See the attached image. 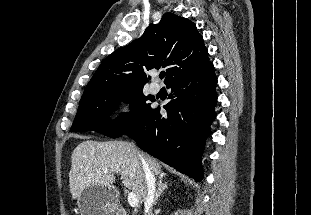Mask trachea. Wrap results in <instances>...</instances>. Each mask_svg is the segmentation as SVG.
I'll return each mask as SVG.
<instances>
[{"label": "trachea", "instance_id": "1", "mask_svg": "<svg viewBox=\"0 0 311 215\" xmlns=\"http://www.w3.org/2000/svg\"><path fill=\"white\" fill-rule=\"evenodd\" d=\"M159 77H160L161 79H163V78L165 77V73H160V74H159Z\"/></svg>", "mask_w": 311, "mask_h": 215}]
</instances>
